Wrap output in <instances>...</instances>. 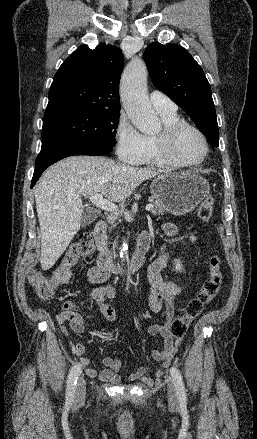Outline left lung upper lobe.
<instances>
[{
    "label": "left lung upper lobe",
    "instance_id": "obj_1",
    "mask_svg": "<svg viewBox=\"0 0 257 439\" xmlns=\"http://www.w3.org/2000/svg\"><path fill=\"white\" fill-rule=\"evenodd\" d=\"M154 86L168 95L194 121L209 143L219 146L211 88L202 68L183 47L151 43L144 52Z\"/></svg>",
    "mask_w": 257,
    "mask_h": 439
}]
</instances>
